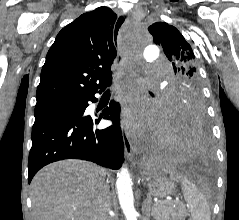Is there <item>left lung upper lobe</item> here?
<instances>
[{"label": "left lung upper lobe", "mask_w": 239, "mask_h": 220, "mask_svg": "<svg viewBox=\"0 0 239 220\" xmlns=\"http://www.w3.org/2000/svg\"><path fill=\"white\" fill-rule=\"evenodd\" d=\"M148 30L153 36L154 43L162 46L177 74L169 86V111L185 112L196 107L204 110L201 82L191 46L178 29L168 23H154Z\"/></svg>", "instance_id": "1"}]
</instances>
